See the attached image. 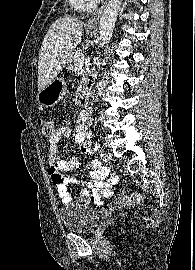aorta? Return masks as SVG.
<instances>
[{
    "mask_svg": "<svg viewBox=\"0 0 195 270\" xmlns=\"http://www.w3.org/2000/svg\"><path fill=\"white\" fill-rule=\"evenodd\" d=\"M122 0H109L99 22V36L102 46L109 43L117 20Z\"/></svg>",
    "mask_w": 195,
    "mask_h": 270,
    "instance_id": "762f6f07",
    "label": "aorta"
}]
</instances>
